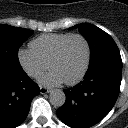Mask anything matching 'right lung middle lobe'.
Returning <instances> with one entry per match:
<instances>
[{
    "label": "right lung middle lobe",
    "mask_w": 128,
    "mask_h": 128,
    "mask_svg": "<svg viewBox=\"0 0 128 128\" xmlns=\"http://www.w3.org/2000/svg\"><path fill=\"white\" fill-rule=\"evenodd\" d=\"M33 34L32 30L9 25H0V66L21 69L18 49Z\"/></svg>",
    "instance_id": "1"
}]
</instances>
